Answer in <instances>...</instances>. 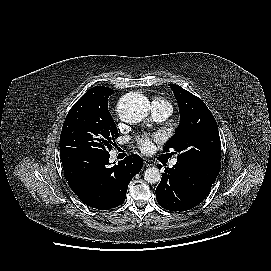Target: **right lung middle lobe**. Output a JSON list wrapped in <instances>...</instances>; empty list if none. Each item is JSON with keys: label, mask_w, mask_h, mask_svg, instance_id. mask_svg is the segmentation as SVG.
<instances>
[{"label": "right lung middle lobe", "mask_w": 271, "mask_h": 271, "mask_svg": "<svg viewBox=\"0 0 271 271\" xmlns=\"http://www.w3.org/2000/svg\"><path fill=\"white\" fill-rule=\"evenodd\" d=\"M113 93L109 87L95 86L73 105L63 124L60 149L109 153L119 136L108 110V98Z\"/></svg>", "instance_id": "dd1d6c3e"}]
</instances>
